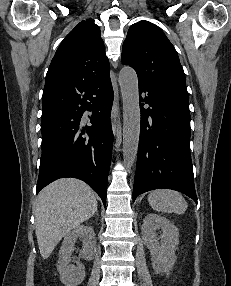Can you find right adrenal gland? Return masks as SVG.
<instances>
[{
  "instance_id": "right-adrenal-gland-1",
  "label": "right adrenal gland",
  "mask_w": 231,
  "mask_h": 286,
  "mask_svg": "<svg viewBox=\"0 0 231 286\" xmlns=\"http://www.w3.org/2000/svg\"><path fill=\"white\" fill-rule=\"evenodd\" d=\"M96 215L98 216L99 214H98V210H96Z\"/></svg>"
}]
</instances>
